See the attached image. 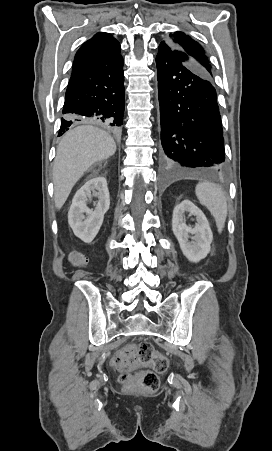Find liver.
<instances>
[{"label": "liver", "mask_w": 272, "mask_h": 451, "mask_svg": "<svg viewBox=\"0 0 272 451\" xmlns=\"http://www.w3.org/2000/svg\"><path fill=\"white\" fill-rule=\"evenodd\" d=\"M115 152L113 138L100 128L77 126L66 132L57 146L53 166L55 208H62L73 186L94 162L107 160Z\"/></svg>", "instance_id": "6515ba94"}]
</instances>
